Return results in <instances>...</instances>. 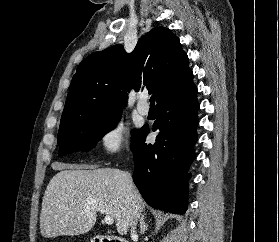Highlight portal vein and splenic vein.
I'll return each mask as SVG.
<instances>
[{
    "label": "portal vein and splenic vein",
    "instance_id": "portal-vein-and-splenic-vein-1",
    "mask_svg": "<svg viewBox=\"0 0 279 242\" xmlns=\"http://www.w3.org/2000/svg\"><path fill=\"white\" fill-rule=\"evenodd\" d=\"M104 222L107 224V225H112L114 223V219L112 216L110 215H105L104 217Z\"/></svg>",
    "mask_w": 279,
    "mask_h": 242
}]
</instances>
